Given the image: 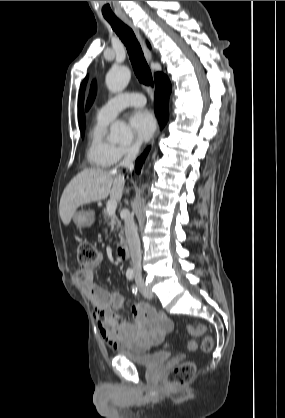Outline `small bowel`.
<instances>
[{
	"mask_svg": "<svg viewBox=\"0 0 285 418\" xmlns=\"http://www.w3.org/2000/svg\"><path fill=\"white\" fill-rule=\"evenodd\" d=\"M103 262V256L99 255L94 263L81 266L74 275L93 306L101 337L116 350L124 347L134 350L157 347L172 330L171 320L147 303L134 305L132 315L122 313L124 301L119 292L95 282V270ZM187 347L195 351L198 345L195 341H189Z\"/></svg>",
	"mask_w": 285,
	"mask_h": 418,
	"instance_id": "c3829d8e",
	"label": "small bowel"
}]
</instances>
